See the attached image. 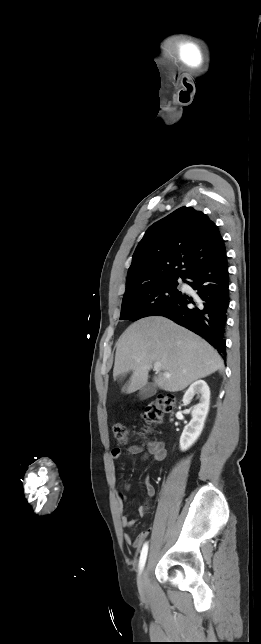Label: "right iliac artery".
<instances>
[{
	"label": "right iliac artery",
	"mask_w": 261,
	"mask_h": 644,
	"mask_svg": "<svg viewBox=\"0 0 261 644\" xmlns=\"http://www.w3.org/2000/svg\"><path fill=\"white\" fill-rule=\"evenodd\" d=\"M147 553H148V543L146 542L143 545V548H142V551H141V554H140V559H139V570L140 571H142V569H143V567L145 565L146 558H147Z\"/></svg>",
	"instance_id": "right-iliac-artery-1"
}]
</instances>
